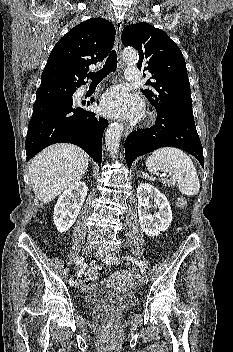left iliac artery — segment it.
<instances>
[{
	"instance_id": "obj_1",
	"label": "left iliac artery",
	"mask_w": 233,
	"mask_h": 352,
	"mask_svg": "<svg viewBox=\"0 0 233 352\" xmlns=\"http://www.w3.org/2000/svg\"><path fill=\"white\" fill-rule=\"evenodd\" d=\"M123 259L129 260V261L137 264L139 266V269H140L141 273L142 274L146 273L144 264L142 262L137 261L136 259H134L131 256H125V257H123ZM105 261H106L107 264H114V263L118 262V258L117 257L108 256Z\"/></svg>"
}]
</instances>
